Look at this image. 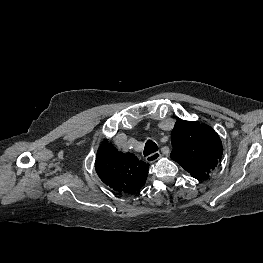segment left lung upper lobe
I'll list each match as a JSON object with an SVG mask.
<instances>
[{"label": "left lung upper lobe", "instance_id": "1", "mask_svg": "<svg viewBox=\"0 0 263 263\" xmlns=\"http://www.w3.org/2000/svg\"><path fill=\"white\" fill-rule=\"evenodd\" d=\"M173 151L170 157L192 177L205 180L223 154L219 135L210 126L179 119L172 130Z\"/></svg>", "mask_w": 263, "mask_h": 263}]
</instances>
